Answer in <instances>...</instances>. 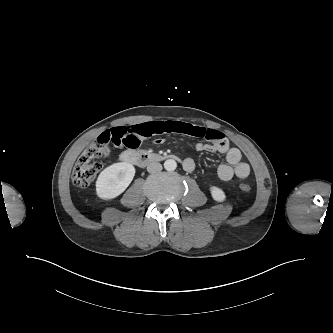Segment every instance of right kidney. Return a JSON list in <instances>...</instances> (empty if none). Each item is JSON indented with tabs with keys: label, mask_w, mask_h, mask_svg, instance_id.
Segmentation results:
<instances>
[{
	"label": "right kidney",
	"mask_w": 333,
	"mask_h": 333,
	"mask_svg": "<svg viewBox=\"0 0 333 333\" xmlns=\"http://www.w3.org/2000/svg\"><path fill=\"white\" fill-rule=\"evenodd\" d=\"M135 176V168L127 162L114 163L105 168L96 181V194L102 200L118 197Z\"/></svg>",
	"instance_id": "right-kidney-1"
}]
</instances>
